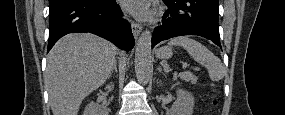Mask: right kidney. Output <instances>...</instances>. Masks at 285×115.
<instances>
[{
	"label": "right kidney",
	"mask_w": 285,
	"mask_h": 115,
	"mask_svg": "<svg viewBox=\"0 0 285 115\" xmlns=\"http://www.w3.org/2000/svg\"><path fill=\"white\" fill-rule=\"evenodd\" d=\"M113 85H108L107 89L112 90ZM84 115H107V111L99 104L89 103L84 110Z\"/></svg>",
	"instance_id": "right-kidney-1"
}]
</instances>
